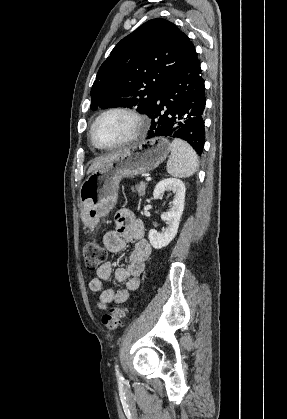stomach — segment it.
<instances>
[{"label": "stomach", "instance_id": "stomach-1", "mask_svg": "<svg viewBox=\"0 0 287 419\" xmlns=\"http://www.w3.org/2000/svg\"><path fill=\"white\" fill-rule=\"evenodd\" d=\"M170 145L164 137L151 138L94 170L80 187L82 217L97 223L106 216L117 202L120 181L155 169L168 156Z\"/></svg>", "mask_w": 287, "mask_h": 419}]
</instances>
